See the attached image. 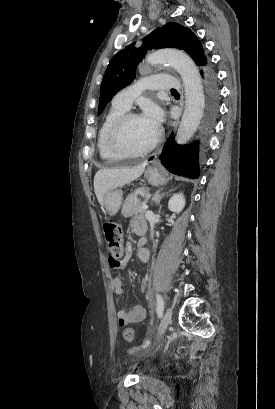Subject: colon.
Masks as SVG:
<instances>
[{
  "label": "colon",
  "mask_w": 275,
  "mask_h": 409,
  "mask_svg": "<svg viewBox=\"0 0 275 409\" xmlns=\"http://www.w3.org/2000/svg\"><path fill=\"white\" fill-rule=\"evenodd\" d=\"M104 238L108 249L113 257H123L122 226L114 220H106L102 224ZM124 339L128 343H133L135 336L131 327H126L123 332Z\"/></svg>",
  "instance_id": "obj_1"
}]
</instances>
